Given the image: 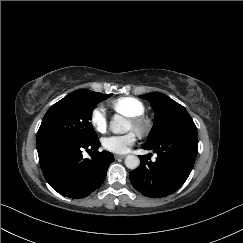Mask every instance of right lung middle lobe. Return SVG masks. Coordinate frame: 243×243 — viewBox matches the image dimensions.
<instances>
[{"instance_id":"dd1d6c3e","label":"right lung middle lobe","mask_w":243,"mask_h":243,"mask_svg":"<svg viewBox=\"0 0 243 243\" xmlns=\"http://www.w3.org/2000/svg\"><path fill=\"white\" fill-rule=\"evenodd\" d=\"M112 94L90 90L74 91L52 105L45 114L37 133L36 143L50 139H65L80 143L97 140L90 122L96 104Z\"/></svg>"}]
</instances>
